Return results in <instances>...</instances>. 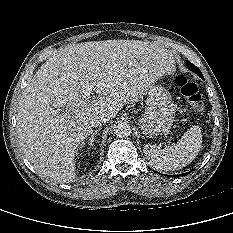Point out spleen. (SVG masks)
Returning <instances> with one entry per match:
<instances>
[{
  "mask_svg": "<svg viewBox=\"0 0 233 233\" xmlns=\"http://www.w3.org/2000/svg\"><path fill=\"white\" fill-rule=\"evenodd\" d=\"M202 147V135L199 126L194 125L172 145L157 149L152 145L144 146V154L150 165L158 170H177L191 163Z\"/></svg>",
  "mask_w": 233,
  "mask_h": 233,
  "instance_id": "3e777b00",
  "label": "spleen"
}]
</instances>
